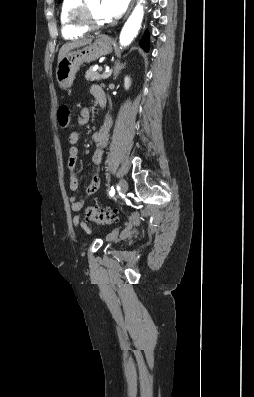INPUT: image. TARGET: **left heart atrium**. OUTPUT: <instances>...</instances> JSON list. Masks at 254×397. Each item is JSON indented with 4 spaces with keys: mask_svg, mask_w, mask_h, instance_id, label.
Listing matches in <instances>:
<instances>
[{
    "mask_svg": "<svg viewBox=\"0 0 254 397\" xmlns=\"http://www.w3.org/2000/svg\"><path fill=\"white\" fill-rule=\"evenodd\" d=\"M129 0H101L100 11L106 20L120 17L126 10Z\"/></svg>",
    "mask_w": 254,
    "mask_h": 397,
    "instance_id": "left-heart-atrium-1",
    "label": "left heart atrium"
}]
</instances>
